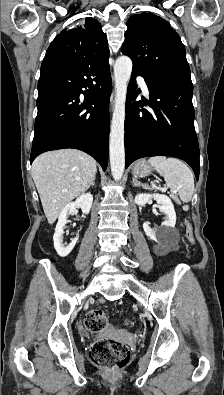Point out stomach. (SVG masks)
I'll list each match as a JSON object with an SVG mask.
<instances>
[{"mask_svg":"<svg viewBox=\"0 0 224 395\" xmlns=\"http://www.w3.org/2000/svg\"><path fill=\"white\" fill-rule=\"evenodd\" d=\"M152 170V167L145 160H139L135 163L132 173L135 177L142 178L150 175Z\"/></svg>","mask_w":224,"mask_h":395,"instance_id":"1","label":"stomach"}]
</instances>
